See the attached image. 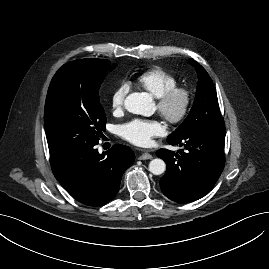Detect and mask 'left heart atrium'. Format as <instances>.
Instances as JSON below:
<instances>
[{
	"mask_svg": "<svg viewBox=\"0 0 269 269\" xmlns=\"http://www.w3.org/2000/svg\"><path fill=\"white\" fill-rule=\"evenodd\" d=\"M118 132L125 140L136 145H148L152 138L162 134L163 126L158 120L135 118L119 126Z\"/></svg>",
	"mask_w": 269,
	"mask_h": 269,
	"instance_id": "left-heart-atrium-1",
	"label": "left heart atrium"
}]
</instances>
